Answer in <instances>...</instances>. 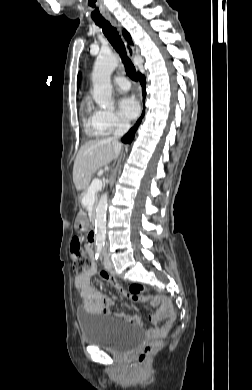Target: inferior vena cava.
Listing matches in <instances>:
<instances>
[{
  "instance_id": "1",
  "label": "inferior vena cava",
  "mask_w": 252,
  "mask_h": 390,
  "mask_svg": "<svg viewBox=\"0 0 252 390\" xmlns=\"http://www.w3.org/2000/svg\"><path fill=\"white\" fill-rule=\"evenodd\" d=\"M129 128H130V125L128 123H124V124L119 125L118 128L114 132V136L111 138L116 157L118 156V154L121 150V143L118 140L125 133H127Z\"/></svg>"
}]
</instances>
